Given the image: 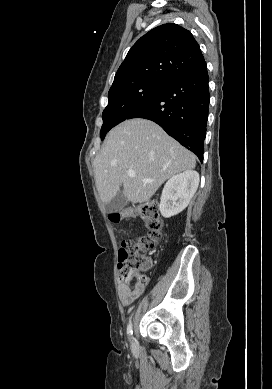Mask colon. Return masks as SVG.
I'll list each match as a JSON object with an SVG mask.
<instances>
[{"mask_svg": "<svg viewBox=\"0 0 272 389\" xmlns=\"http://www.w3.org/2000/svg\"><path fill=\"white\" fill-rule=\"evenodd\" d=\"M124 213H114L111 220L115 223L121 221ZM129 215L140 218L147 229L146 233L136 240L123 242L118 255V266L121 278L126 282L135 280L137 284L145 285L147 277L143 273L145 255L152 251L162 236L163 222L159 214L158 205L148 202L130 209Z\"/></svg>", "mask_w": 272, "mask_h": 389, "instance_id": "1", "label": "colon"}]
</instances>
